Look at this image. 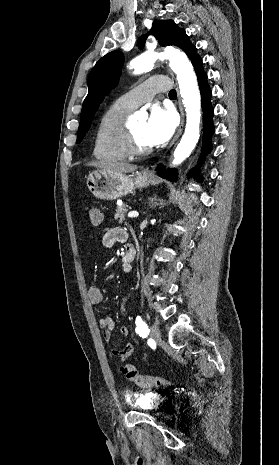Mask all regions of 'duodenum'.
I'll list each match as a JSON object with an SVG mask.
<instances>
[{
	"instance_id": "duodenum-1",
	"label": "duodenum",
	"mask_w": 279,
	"mask_h": 465,
	"mask_svg": "<svg viewBox=\"0 0 279 465\" xmlns=\"http://www.w3.org/2000/svg\"><path fill=\"white\" fill-rule=\"evenodd\" d=\"M134 257H135V248L132 244H128L125 247V253L122 258L123 263L130 264L134 260Z\"/></svg>"
}]
</instances>
